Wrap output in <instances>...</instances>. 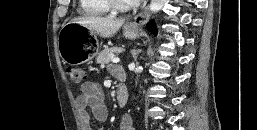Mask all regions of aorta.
<instances>
[{
  "label": "aorta",
  "instance_id": "762f6f07",
  "mask_svg": "<svg viewBox=\"0 0 257 130\" xmlns=\"http://www.w3.org/2000/svg\"><path fill=\"white\" fill-rule=\"evenodd\" d=\"M166 3V0H151L150 3V10L153 13L158 12ZM138 69H141V67H139Z\"/></svg>",
  "mask_w": 257,
  "mask_h": 130
}]
</instances>
